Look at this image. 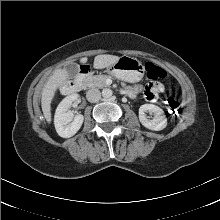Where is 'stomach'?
<instances>
[{"label": "stomach", "mask_w": 220, "mask_h": 220, "mask_svg": "<svg viewBox=\"0 0 220 220\" xmlns=\"http://www.w3.org/2000/svg\"><path fill=\"white\" fill-rule=\"evenodd\" d=\"M107 72L121 80L135 83L143 78L145 68L138 59L122 56L113 65L107 67Z\"/></svg>", "instance_id": "0dacf381"}]
</instances>
